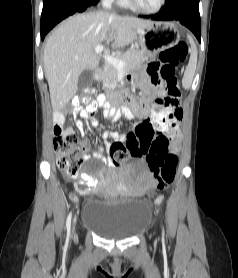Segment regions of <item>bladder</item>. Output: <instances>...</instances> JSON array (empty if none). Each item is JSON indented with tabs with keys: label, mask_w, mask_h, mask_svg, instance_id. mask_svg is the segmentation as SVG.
<instances>
[{
	"label": "bladder",
	"mask_w": 238,
	"mask_h": 278,
	"mask_svg": "<svg viewBox=\"0 0 238 278\" xmlns=\"http://www.w3.org/2000/svg\"><path fill=\"white\" fill-rule=\"evenodd\" d=\"M151 220V205L140 204V198H93L92 202H84L81 211L82 226L106 240L135 237L148 228Z\"/></svg>",
	"instance_id": "31cf9c89"
}]
</instances>
